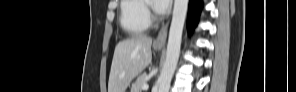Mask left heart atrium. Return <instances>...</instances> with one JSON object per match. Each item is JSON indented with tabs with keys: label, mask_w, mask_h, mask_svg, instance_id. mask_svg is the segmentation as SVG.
I'll return each instance as SVG.
<instances>
[{
	"label": "left heart atrium",
	"mask_w": 296,
	"mask_h": 92,
	"mask_svg": "<svg viewBox=\"0 0 296 92\" xmlns=\"http://www.w3.org/2000/svg\"><path fill=\"white\" fill-rule=\"evenodd\" d=\"M170 0H156L154 1V9L158 14H164L170 7Z\"/></svg>",
	"instance_id": "39dd6f15"
}]
</instances>
